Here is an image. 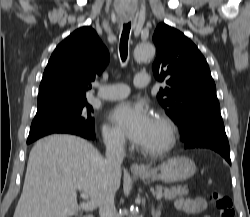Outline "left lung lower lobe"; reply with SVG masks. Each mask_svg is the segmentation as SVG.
<instances>
[{
    "label": "left lung lower lobe",
    "mask_w": 250,
    "mask_h": 217,
    "mask_svg": "<svg viewBox=\"0 0 250 217\" xmlns=\"http://www.w3.org/2000/svg\"><path fill=\"white\" fill-rule=\"evenodd\" d=\"M184 148H208L221 154L231 164L230 148L220 113L196 119L181 133Z\"/></svg>",
    "instance_id": "1"
}]
</instances>
